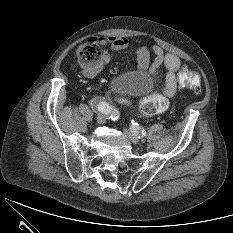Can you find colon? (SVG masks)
<instances>
[{"label": "colon", "instance_id": "obj_1", "mask_svg": "<svg viewBox=\"0 0 233 233\" xmlns=\"http://www.w3.org/2000/svg\"><path fill=\"white\" fill-rule=\"evenodd\" d=\"M78 61L87 67L97 65L102 61V51L96 40L82 44L77 51ZM178 85L182 89L199 90L200 76L188 68H182L178 75ZM168 108V100L161 95H150L142 99L138 113L142 116H152L164 112Z\"/></svg>", "mask_w": 233, "mask_h": 233}]
</instances>
